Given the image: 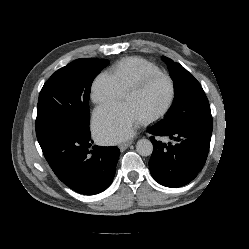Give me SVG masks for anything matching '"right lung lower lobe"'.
Returning a JSON list of instances; mask_svg holds the SVG:
<instances>
[{
    "label": "right lung lower lobe",
    "instance_id": "obj_1",
    "mask_svg": "<svg viewBox=\"0 0 249 249\" xmlns=\"http://www.w3.org/2000/svg\"><path fill=\"white\" fill-rule=\"evenodd\" d=\"M91 134L69 132L40 143L45 159L56 176L72 190L93 195L113 181L120 155L117 147H91Z\"/></svg>",
    "mask_w": 249,
    "mask_h": 249
}]
</instances>
